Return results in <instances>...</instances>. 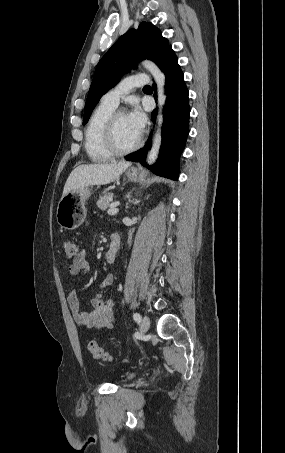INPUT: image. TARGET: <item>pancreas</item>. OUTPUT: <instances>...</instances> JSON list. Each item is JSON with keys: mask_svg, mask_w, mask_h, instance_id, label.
Here are the masks:
<instances>
[{"mask_svg": "<svg viewBox=\"0 0 285 453\" xmlns=\"http://www.w3.org/2000/svg\"><path fill=\"white\" fill-rule=\"evenodd\" d=\"M113 199V193H106L97 201V206L100 210H106L110 206Z\"/></svg>", "mask_w": 285, "mask_h": 453, "instance_id": "cf45deb5", "label": "pancreas"}]
</instances>
